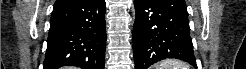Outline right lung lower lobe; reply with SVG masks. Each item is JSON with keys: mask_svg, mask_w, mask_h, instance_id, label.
I'll list each match as a JSON object with an SVG mask.
<instances>
[{"mask_svg": "<svg viewBox=\"0 0 246 69\" xmlns=\"http://www.w3.org/2000/svg\"><path fill=\"white\" fill-rule=\"evenodd\" d=\"M105 48V0L56 1L44 69H104Z\"/></svg>", "mask_w": 246, "mask_h": 69, "instance_id": "obj_1", "label": "right lung lower lobe"}]
</instances>
